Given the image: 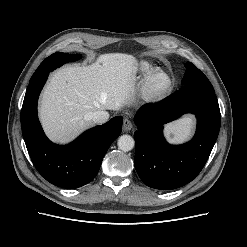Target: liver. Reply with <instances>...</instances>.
<instances>
[{"mask_svg": "<svg viewBox=\"0 0 247 247\" xmlns=\"http://www.w3.org/2000/svg\"><path fill=\"white\" fill-rule=\"evenodd\" d=\"M135 57L123 53L99 55L90 65L63 67L44 88L39 116L48 137L66 143L93 125L89 114L119 110L133 93Z\"/></svg>", "mask_w": 247, "mask_h": 247, "instance_id": "obj_1", "label": "liver"}]
</instances>
